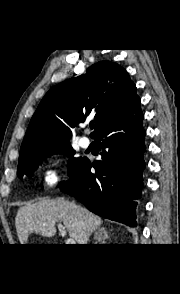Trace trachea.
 <instances>
[{"label": "trachea", "mask_w": 180, "mask_h": 294, "mask_svg": "<svg viewBox=\"0 0 180 294\" xmlns=\"http://www.w3.org/2000/svg\"><path fill=\"white\" fill-rule=\"evenodd\" d=\"M90 127H91V128H93V127H94V124H93V123H91V124H90Z\"/></svg>", "instance_id": "3493384b"}]
</instances>
